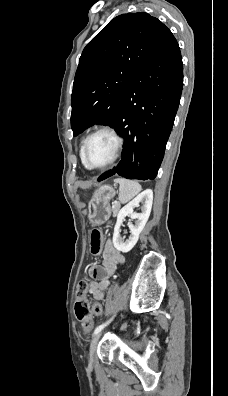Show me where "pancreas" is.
I'll use <instances>...</instances> for the list:
<instances>
[{"label":"pancreas","instance_id":"pancreas-1","mask_svg":"<svg viewBox=\"0 0 228 396\" xmlns=\"http://www.w3.org/2000/svg\"><path fill=\"white\" fill-rule=\"evenodd\" d=\"M119 209H120V204H119V203H114V204L112 205V211H113V214H114V215L117 214V212L119 211Z\"/></svg>","mask_w":228,"mask_h":396}]
</instances>
